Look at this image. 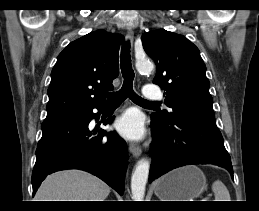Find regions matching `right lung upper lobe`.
Wrapping results in <instances>:
<instances>
[{
	"label": "right lung upper lobe",
	"mask_w": 259,
	"mask_h": 211,
	"mask_svg": "<svg viewBox=\"0 0 259 211\" xmlns=\"http://www.w3.org/2000/svg\"><path fill=\"white\" fill-rule=\"evenodd\" d=\"M124 37L105 30L71 42L51 72L46 119L83 113L104 106L119 74L118 53Z\"/></svg>",
	"instance_id": "1"
}]
</instances>
